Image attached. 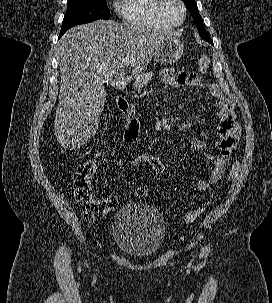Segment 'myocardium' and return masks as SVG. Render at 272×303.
<instances>
[{"label":"myocardium","instance_id":"myocardium-1","mask_svg":"<svg viewBox=\"0 0 272 303\" xmlns=\"http://www.w3.org/2000/svg\"><path fill=\"white\" fill-rule=\"evenodd\" d=\"M165 2H166V0H156L155 7H154L155 16H156L157 20L165 28H169V29L178 28L179 26H181L184 23V21L186 19V14H187L186 6H185L183 0H175V2H177L181 8L182 16H181V19L179 22H177L175 24H171L165 20L163 13H162V8H163V5Z\"/></svg>","mask_w":272,"mask_h":303}]
</instances>
